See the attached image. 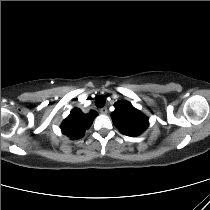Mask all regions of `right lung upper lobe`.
Here are the masks:
<instances>
[{"mask_svg":"<svg viewBox=\"0 0 210 210\" xmlns=\"http://www.w3.org/2000/svg\"><path fill=\"white\" fill-rule=\"evenodd\" d=\"M97 116L96 111L84 114L80 109L74 108L61 125L62 132L71 139H79L84 136L93 119Z\"/></svg>","mask_w":210,"mask_h":210,"instance_id":"obj_1","label":"right lung upper lobe"}]
</instances>
